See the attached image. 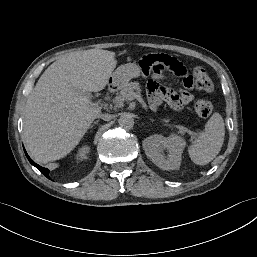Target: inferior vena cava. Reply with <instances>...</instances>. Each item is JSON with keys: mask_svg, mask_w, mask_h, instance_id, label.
I'll list each match as a JSON object with an SVG mask.
<instances>
[{"mask_svg": "<svg viewBox=\"0 0 257 257\" xmlns=\"http://www.w3.org/2000/svg\"><path fill=\"white\" fill-rule=\"evenodd\" d=\"M96 117L100 118V119H102L104 121H109V120H111L113 118V116L111 114H108V113H105V114L99 113V114H97Z\"/></svg>", "mask_w": 257, "mask_h": 257, "instance_id": "obj_1", "label": "inferior vena cava"}]
</instances>
